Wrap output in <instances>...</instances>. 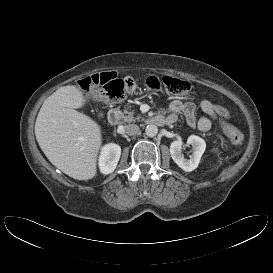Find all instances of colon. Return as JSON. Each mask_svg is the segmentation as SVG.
Segmentation results:
<instances>
[{
	"label": "colon",
	"mask_w": 273,
	"mask_h": 273,
	"mask_svg": "<svg viewBox=\"0 0 273 273\" xmlns=\"http://www.w3.org/2000/svg\"><path fill=\"white\" fill-rule=\"evenodd\" d=\"M146 84L152 92H158L164 87L169 94L176 96L185 95L191 89L190 82L170 76L162 79L150 77ZM95 86L103 88L101 96L108 101H118L124 97L125 81L114 72L96 73L79 81V87L84 93H90ZM220 125L234 145L241 146L244 143V135L239 129L225 121H222Z\"/></svg>",
	"instance_id": "colon-1"
}]
</instances>
